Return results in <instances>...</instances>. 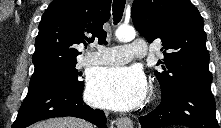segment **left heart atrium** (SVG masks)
<instances>
[{"label":"left heart atrium","mask_w":221,"mask_h":128,"mask_svg":"<svg viewBox=\"0 0 221 128\" xmlns=\"http://www.w3.org/2000/svg\"><path fill=\"white\" fill-rule=\"evenodd\" d=\"M145 95V78L136 68H102L89 77L87 97L100 107L132 110L142 103Z\"/></svg>","instance_id":"1"}]
</instances>
